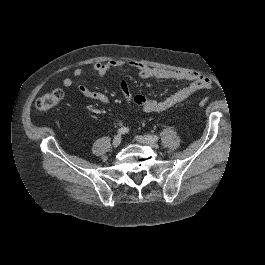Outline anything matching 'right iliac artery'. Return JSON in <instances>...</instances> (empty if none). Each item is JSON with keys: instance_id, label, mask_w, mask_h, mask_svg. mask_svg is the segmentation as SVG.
I'll list each match as a JSON object with an SVG mask.
<instances>
[{"instance_id": "82829eb1", "label": "right iliac artery", "mask_w": 265, "mask_h": 265, "mask_svg": "<svg viewBox=\"0 0 265 265\" xmlns=\"http://www.w3.org/2000/svg\"><path fill=\"white\" fill-rule=\"evenodd\" d=\"M129 132V128L128 127H121L120 129H118L117 133L118 134H126Z\"/></svg>"}]
</instances>
